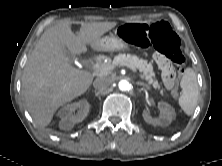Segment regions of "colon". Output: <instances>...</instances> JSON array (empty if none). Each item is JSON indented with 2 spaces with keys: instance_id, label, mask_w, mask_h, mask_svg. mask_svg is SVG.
<instances>
[{
  "instance_id": "obj_1",
  "label": "colon",
  "mask_w": 222,
  "mask_h": 166,
  "mask_svg": "<svg viewBox=\"0 0 222 166\" xmlns=\"http://www.w3.org/2000/svg\"><path fill=\"white\" fill-rule=\"evenodd\" d=\"M118 34L125 42L139 47L152 45L163 56L161 70L164 84L177 97L178 78L184 72L185 57L181 51L180 39L171 26L165 21L151 24L132 23L122 26ZM174 65L179 67L178 72Z\"/></svg>"
}]
</instances>
